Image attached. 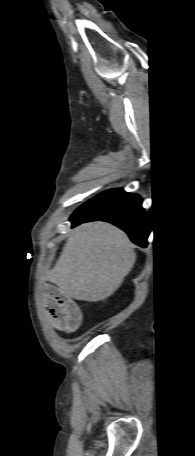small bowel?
<instances>
[{
	"instance_id": "obj_1",
	"label": "small bowel",
	"mask_w": 195,
	"mask_h": 456,
	"mask_svg": "<svg viewBox=\"0 0 195 456\" xmlns=\"http://www.w3.org/2000/svg\"><path fill=\"white\" fill-rule=\"evenodd\" d=\"M45 308L50 324L58 330L72 332L82 320L79 306L52 285L46 286Z\"/></svg>"
}]
</instances>
